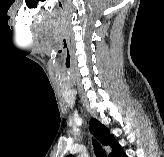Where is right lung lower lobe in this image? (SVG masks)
Here are the masks:
<instances>
[{
  "label": "right lung lower lobe",
  "instance_id": "1",
  "mask_svg": "<svg viewBox=\"0 0 164 157\" xmlns=\"http://www.w3.org/2000/svg\"><path fill=\"white\" fill-rule=\"evenodd\" d=\"M110 157H127V155L122 151L121 146L118 147L112 152Z\"/></svg>",
  "mask_w": 164,
  "mask_h": 157
}]
</instances>
